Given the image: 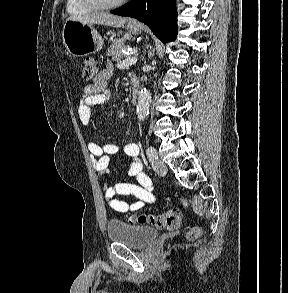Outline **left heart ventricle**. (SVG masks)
Returning <instances> with one entry per match:
<instances>
[{"label":"left heart ventricle","mask_w":288,"mask_h":293,"mask_svg":"<svg viewBox=\"0 0 288 293\" xmlns=\"http://www.w3.org/2000/svg\"><path fill=\"white\" fill-rule=\"evenodd\" d=\"M107 1H115V0H107Z\"/></svg>","instance_id":"left-heart-ventricle-1"}]
</instances>
